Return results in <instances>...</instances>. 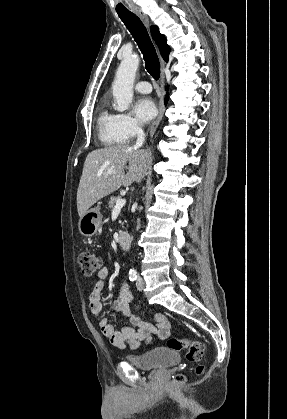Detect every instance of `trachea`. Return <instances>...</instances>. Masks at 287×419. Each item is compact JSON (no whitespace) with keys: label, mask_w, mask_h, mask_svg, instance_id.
I'll list each match as a JSON object with an SVG mask.
<instances>
[{"label":"trachea","mask_w":287,"mask_h":419,"mask_svg":"<svg viewBox=\"0 0 287 419\" xmlns=\"http://www.w3.org/2000/svg\"><path fill=\"white\" fill-rule=\"evenodd\" d=\"M140 48L147 72L156 80L160 77V63L146 27L135 14L119 15Z\"/></svg>","instance_id":"1"}]
</instances>
